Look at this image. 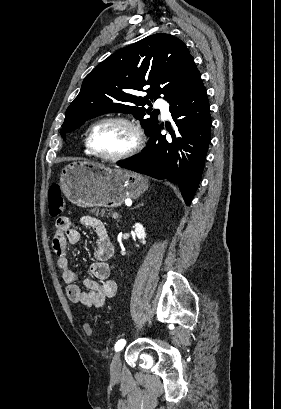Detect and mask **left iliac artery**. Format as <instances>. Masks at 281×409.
<instances>
[{
	"label": "left iliac artery",
	"mask_w": 281,
	"mask_h": 409,
	"mask_svg": "<svg viewBox=\"0 0 281 409\" xmlns=\"http://www.w3.org/2000/svg\"><path fill=\"white\" fill-rule=\"evenodd\" d=\"M125 344H126V341L124 339L118 340L117 343L115 344V351L122 350Z\"/></svg>",
	"instance_id": "44dca946"
}]
</instances>
